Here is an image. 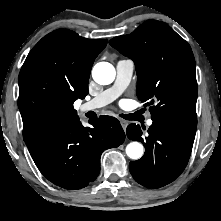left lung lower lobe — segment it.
<instances>
[{
  "label": "left lung lower lobe",
  "instance_id": "left-lung-lower-lobe-1",
  "mask_svg": "<svg viewBox=\"0 0 221 221\" xmlns=\"http://www.w3.org/2000/svg\"><path fill=\"white\" fill-rule=\"evenodd\" d=\"M144 137L139 125L130 124L127 136L144 144L145 154L129 164L133 178L148 188H160L174 181L185 169L195 138L196 127L159 117Z\"/></svg>",
  "mask_w": 221,
  "mask_h": 221
}]
</instances>
